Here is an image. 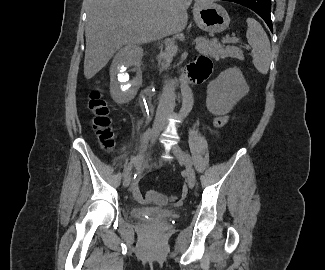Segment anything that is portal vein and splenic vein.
Segmentation results:
<instances>
[{"label": "portal vein and splenic vein", "mask_w": 325, "mask_h": 270, "mask_svg": "<svg viewBox=\"0 0 325 270\" xmlns=\"http://www.w3.org/2000/svg\"><path fill=\"white\" fill-rule=\"evenodd\" d=\"M199 39H195L194 43H198ZM225 43H237L239 42V40L237 38H230V39H226L224 40Z\"/></svg>", "instance_id": "portal-vein-and-splenic-vein-1"}]
</instances>
